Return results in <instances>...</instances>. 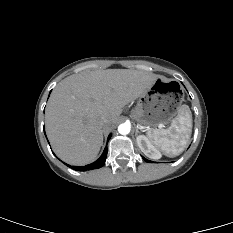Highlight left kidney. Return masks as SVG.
Here are the masks:
<instances>
[{
    "mask_svg": "<svg viewBox=\"0 0 233 233\" xmlns=\"http://www.w3.org/2000/svg\"><path fill=\"white\" fill-rule=\"evenodd\" d=\"M137 144L140 150L149 158L159 159L161 157V153L152 145V143L146 136H138Z\"/></svg>",
    "mask_w": 233,
    "mask_h": 233,
    "instance_id": "obj_1",
    "label": "left kidney"
}]
</instances>
